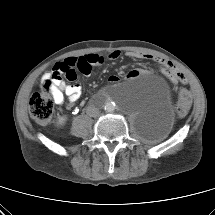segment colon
<instances>
[{"label": "colon", "instance_id": "obj_1", "mask_svg": "<svg viewBox=\"0 0 215 215\" xmlns=\"http://www.w3.org/2000/svg\"><path fill=\"white\" fill-rule=\"evenodd\" d=\"M81 72H87L89 68L85 64H81L78 68ZM76 69L65 62V65H60L53 73L52 78L43 82L40 91L33 94L30 100V114L39 123H47L51 120L54 113L55 98L52 93L53 79L66 77L68 80L75 78ZM167 75L172 81L184 80V75L174 67L168 65ZM190 105V97L187 92H182L177 104V113L183 116Z\"/></svg>", "mask_w": 215, "mask_h": 215}]
</instances>
